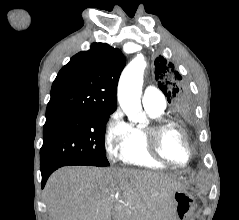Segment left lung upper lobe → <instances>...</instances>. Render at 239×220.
I'll use <instances>...</instances> for the list:
<instances>
[{
  "label": "left lung upper lobe",
  "instance_id": "5c2ea615",
  "mask_svg": "<svg viewBox=\"0 0 239 220\" xmlns=\"http://www.w3.org/2000/svg\"><path fill=\"white\" fill-rule=\"evenodd\" d=\"M155 79L159 88L171 104L173 113L184 121L191 122L194 117V106L185 87L179 82L182 77L174 68V65L163 56L155 60Z\"/></svg>",
  "mask_w": 239,
  "mask_h": 220
}]
</instances>
